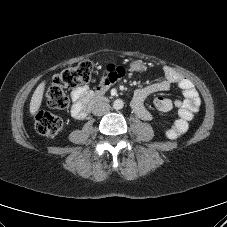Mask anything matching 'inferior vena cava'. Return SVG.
Instances as JSON below:
<instances>
[{
    "mask_svg": "<svg viewBox=\"0 0 227 227\" xmlns=\"http://www.w3.org/2000/svg\"><path fill=\"white\" fill-rule=\"evenodd\" d=\"M110 111V105L106 102H97L92 107V113L96 116H102Z\"/></svg>",
    "mask_w": 227,
    "mask_h": 227,
    "instance_id": "1",
    "label": "inferior vena cava"
}]
</instances>
